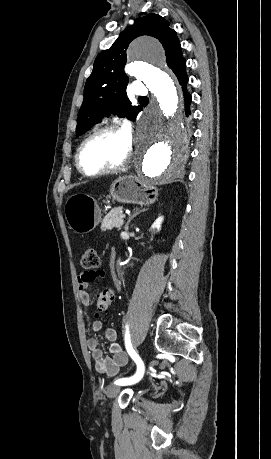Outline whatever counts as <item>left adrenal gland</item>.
I'll list each match as a JSON object with an SVG mask.
<instances>
[{"mask_svg": "<svg viewBox=\"0 0 271 459\" xmlns=\"http://www.w3.org/2000/svg\"><path fill=\"white\" fill-rule=\"evenodd\" d=\"M140 212H146L145 208H143V210H140V208H134V214H132V216H130L127 224H125L126 231H128L129 224H130L131 220H133V218H136V216H138V214H140Z\"/></svg>", "mask_w": 271, "mask_h": 459, "instance_id": "a2214340", "label": "left adrenal gland"}]
</instances>
